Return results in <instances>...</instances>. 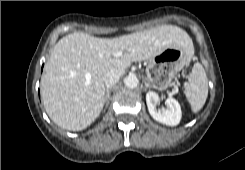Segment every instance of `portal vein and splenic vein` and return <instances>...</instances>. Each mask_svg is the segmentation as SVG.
I'll return each mask as SVG.
<instances>
[{
  "label": "portal vein and splenic vein",
  "mask_w": 245,
  "mask_h": 170,
  "mask_svg": "<svg viewBox=\"0 0 245 170\" xmlns=\"http://www.w3.org/2000/svg\"><path fill=\"white\" fill-rule=\"evenodd\" d=\"M121 55H122L121 52H117V53L115 54L116 57H119V56H121Z\"/></svg>",
  "instance_id": "18ae733b"
}]
</instances>
